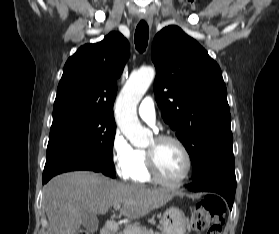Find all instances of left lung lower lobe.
<instances>
[{
    "mask_svg": "<svg viewBox=\"0 0 279 234\" xmlns=\"http://www.w3.org/2000/svg\"><path fill=\"white\" fill-rule=\"evenodd\" d=\"M192 191H210L223 196L232 209L236 191V177L234 169H219L203 177L193 180Z\"/></svg>",
    "mask_w": 279,
    "mask_h": 234,
    "instance_id": "1",
    "label": "left lung lower lobe"
}]
</instances>
